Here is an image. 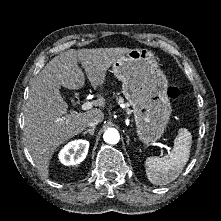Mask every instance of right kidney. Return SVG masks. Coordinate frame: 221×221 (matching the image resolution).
Wrapping results in <instances>:
<instances>
[{
	"label": "right kidney",
	"mask_w": 221,
	"mask_h": 221,
	"mask_svg": "<svg viewBox=\"0 0 221 221\" xmlns=\"http://www.w3.org/2000/svg\"><path fill=\"white\" fill-rule=\"evenodd\" d=\"M89 142L87 140H73L66 144L59 152V160L64 165H77L87 156Z\"/></svg>",
	"instance_id": "right-kidney-1"
}]
</instances>
